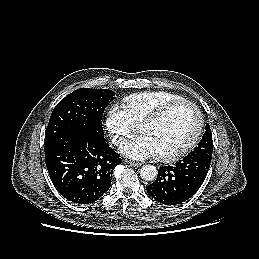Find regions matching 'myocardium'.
I'll return each mask as SVG.
<instances>
[{
    "mask_svg": "<svg viewBox=\"0 0 259 259\" xmlns=\"http://www.w3.org/2000/svg\"><path fill=\"white\" fill-rule=\"evenodd\" d=\"M182 105L189 106L195 111V113L197 115L196 130H195L194 134L192 135V137L180 149H178L174 152L168 153V154L157 155V159L160 161H163V162L175 161V160L183 157L184 155H186L194 147V145L198 142V140L202 134L203 127H204L203 114H202L200 108L195 103H193L189 100H186V99L178 100V101H174V102H171V103H168V104L162 106L157 111L153 112L151 115L146 117L140 123V127L142 125H150V124L157 123L161 119H163L168 113H170L172 110H174L175 108L182 106Z\"/></svg>",
    "mask_w": 259,
    "mask_h": 259,
    "instance_id": "f54148a6",
    "label": "myocardium"
}]
</instances>
